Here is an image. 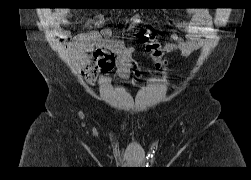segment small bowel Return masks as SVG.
<instances>
[{"mask_svg":"<svg viewBox=\"0 0 251 180\" xmlns=\"http://www.w3.org/2000/svg\"><path fill=\"white\" fill-rule=\"evenodd\" d=\"M69 16V9H60L52 14V24L54 26L67 24ZM189 17V21L177 24L178 28L185 31V37L173 33L171 42L164 47L166 52L177 51L181 56L188 57L203 46L211 17L205 9L190 10ZM91 22L102 26L103 18L98 16ZM59 35L72 53L79 55L89 52L91 54V63L83 69V74L90 83H93L98 75H107L114 67H116L117 75L125 79L134 67L133 49L121 40L113 38L109 28L81 33L74 37L68 31L63 30Z\"/></svg>","mask_w":251,"mask_h":180,"instance_id":"1","label":"small bowel"}]
</instances>
